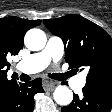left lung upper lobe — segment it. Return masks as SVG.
Here are the masks:
<instances>
[{
	"instance_id": "1",
	"label": "left lung upper lobe",
	"mask_w": 112,
	"mask_h": 112,
	"mask_svg": "<svg viewBox=\"0 0 112 112\" xmlns=\"http://www.w3.org/2000/svg\"><path fill=\"white\" fill-rule=\"evenodd\" d=\"M44 24L62 38L69 68L89 69L86 86L112 89V39L104 29L75 14L45 19Z\"/></svg>"
}]
</instances>
